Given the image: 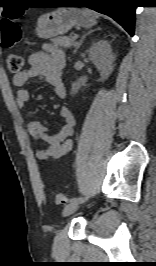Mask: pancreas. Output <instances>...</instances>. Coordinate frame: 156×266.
<instances>
[{
    "mask_svg": "<svg viewBox=\"0 0 156 266\" xmlns=\"http://www.w3.org/2000/svg\"><path fill=\"white\" fill-rule=\"evenodd\" d=\"M76 36L70 35L65 37H57L52 39V42L55 46L63 47V48H70L73 45H76L75 43Z\"/></svg>",
    "mask_w": 156,
    "mask_h": 266,
    "instance_id": "1",
    "label": "pancreas"
}]
</instances>
